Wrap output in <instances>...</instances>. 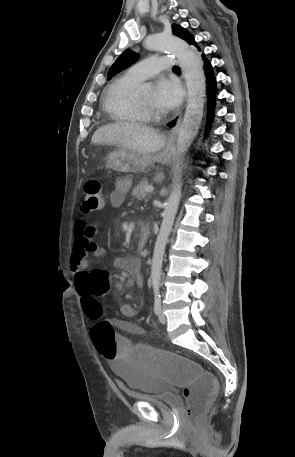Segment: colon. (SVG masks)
<instances>
[{
    "instance_id": "1",
    "label": "colon",
    "mask_w": 295,
    "mask_h": 457,
    "mask_svg": "<svg viewBox=\"0 0 295 457\" xmlns=\"http://www.w3.org/2000/svg\"><path fill=\"white\" fill-rule=\"evenodd\" d=\"M84 192L82 213L91 214L105 206L98 179H89ZM103 293H110V274L98 269L87 273L81 288L82 304L86 316L96 321L91 336L97 355L114 363L140 366L141 372H160V378H166V383H178V390H184L187 419L197 420L217 390V374H208V369H202V363H191L190 357H181V351H164L163 346H134L133 341H126L124 330H114L109 321L102 319L98 298Z\"/></svg>"
}]
</instances>
